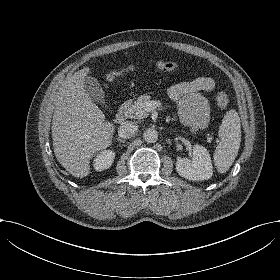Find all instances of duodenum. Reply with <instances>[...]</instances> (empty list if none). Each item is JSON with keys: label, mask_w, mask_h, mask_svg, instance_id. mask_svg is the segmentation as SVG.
I'll return each instance as SVG.
<instances>
[{"label": "duodenum", "mask_w": 280, "mask_h": 280, "mask_svg": "<svg viewBox=\"0 0 280 280\" xmlns=\"http://www.w3.org/2000/svg\"><path fill=\"white\" fill-rule=\"evenodd\" d=\"M129 111H130V103L128 102H124L122 103L118 110L117 113L115 115V121L117 123H123L126 121V119L128 118L129 115Z\"/></svg>", "instance_id": "410a0bca"}]
</instances>
